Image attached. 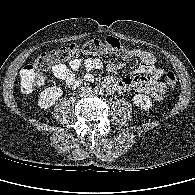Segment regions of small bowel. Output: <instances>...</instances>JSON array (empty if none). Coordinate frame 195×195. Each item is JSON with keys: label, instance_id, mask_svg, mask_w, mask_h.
Wrapping results in <instances>:
<instances>
[{"label": "small bowel", "instance_id": "c3829d8e", "mask_svg": "<svg viewBox=\"0 0 195 195\" xmlns=\"http://www.w3.org/2000/svg\"><path fill=\"white\" fill-rule=\"evenodd\" d=\"M134 57L140 60L136 75L117 79L108 76L104 80V86L109 92L126 94L132 91L142 92L150 95L156 100H161L165 94V86L159 81L164 71L156 67V57L148 51L133 49ZM125 66L124 62L110 61L106 65L109 72H115ZM103 62L98 57H87L85 59L73 58L68 65L57 64L51 69L53 75L63 81L69 88L79 87L83 81L92 82L95 73L101 70ZM83 68V76L78 71Z\"/></svg>", "mask_w": 195, "mask_h": 195}]
</instances>
